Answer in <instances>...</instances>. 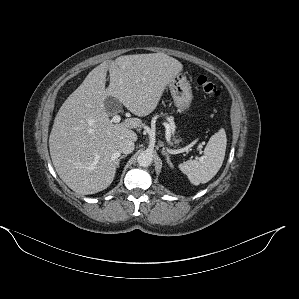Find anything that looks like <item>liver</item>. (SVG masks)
<instances>
[{
	"label": "liver",
	"mask_w": 299,
	"mask_h": 299,
	"mask_svg": "<svg viewBox=\"0 0 299 299\" xmlns=\"http://www.w3.org/2000/svg\"><path fill=\"white\" fill-rule=\"evenodd\" d=\"M183 65L164 53L124 55L95 67L60 107L49 137L56 172L73 191L88 195L106 189L115 177L118 143L137 140L139 118L113 123L105 100L116 98L131 113H152ZM107 71L110 83L105 88Z\"/></svg>",
	"instance_id": "1"
}]
</instances>
